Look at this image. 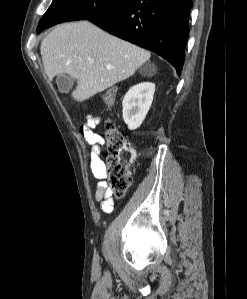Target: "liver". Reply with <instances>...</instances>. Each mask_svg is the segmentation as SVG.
<instances>
[{"label":"liver","instance_id":"liver-1","mask_svg":"<svg viewBox=\"0 0 247 299\" xmlns=\"http://www.w3.org/2000/svg\"><path fill=\"white\" fill-rule=\"evenodd\" d=\"M46 75L67 74L77 81L71 96L85 101L132 76L150 53L89 21L63 23L41 42Z\"/></svg>","mask_w":247,"mask_h":299}]
</instances>
